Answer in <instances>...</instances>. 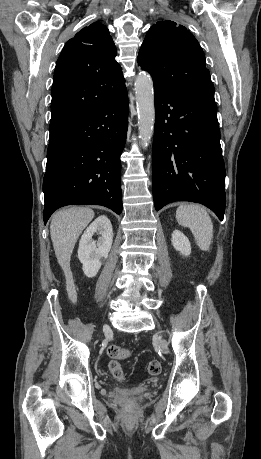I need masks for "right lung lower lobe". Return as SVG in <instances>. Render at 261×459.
<instances>
[{
    "instance_id": "98d812e1",
    "label": "right lung lower lobe",
    "mask_w": 261,
    "mask_h": 459,
    "mask_svg": "<svg viewBox=\"0 0 261 459\" xmlns=\"http://www.w3.org/2000/svg\"><path fill=\"white\" fill-rule=\"evenodd\" d=\"M128 123L126 88L49 139L44 223L58 208L102 205L122 212L121 161Z\"/></svg>"
}]
</instances>
